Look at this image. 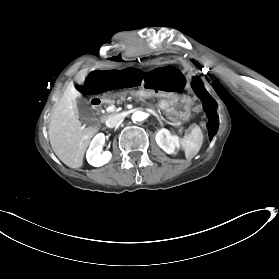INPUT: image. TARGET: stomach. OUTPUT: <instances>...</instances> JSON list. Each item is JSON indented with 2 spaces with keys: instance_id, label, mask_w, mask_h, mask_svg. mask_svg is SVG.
<instances>
[{
  "instance_id": "0dacf381",
  "label": "stomach",
  "mask_w": 279,
  "mask_h": 279,
  "mask_svg": "<svg viewBox=\"0 0 279 279\" xmlns=\"http://www.w3.org/2000/svg\"><path fill=\"white\" fill-rule=\"evenodd\" d=\"M158 108L166 116L175 120H182L189 116L191 112V102L186 97L172 96L161 98L158 101Z\"/></svg>"
}]
</instances>
